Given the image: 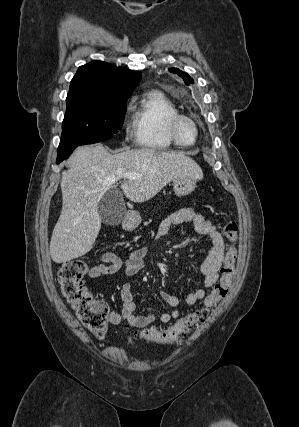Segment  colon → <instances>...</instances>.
Returning <instances> with one entry per match:
<instances>
[{"mask_svg": "<svg viewBox=\"0 0 299 427\" xmlns=\"http://www.w3.org/2000/svg\"><path fill=\"white\" fill-rule=\"evenodd\" d=\"M222 234L228 244L220 269L221 275L203 304L163 330L146 327L137 331L138 338L161 344L176 343L202 324L218 302L227 295L235 274V261L238 253V227L235 221L226 219ZM87 270V263L82 259L64 262L58 273V285L63 298L82 325L93 334H101L105 331L109 320V307L104 301L94 299L84 285L83 277Z\"/></svg>", "mask_w": 299, "mask_h": 427, "instance_id": "5ec220e1", "label": "colon"}]
</instances>
